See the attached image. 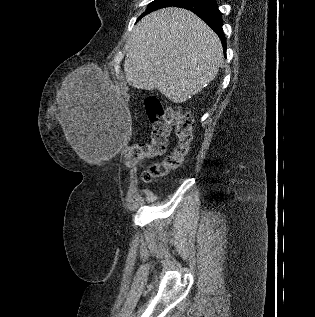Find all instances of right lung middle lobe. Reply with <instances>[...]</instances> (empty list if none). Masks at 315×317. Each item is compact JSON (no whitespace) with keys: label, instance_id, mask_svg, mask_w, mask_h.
Here are the masks:
<instances>
[{"label":"right lung middle lobe","instance_id":"1","mask_svg":"<svg viewBox=\"0 0 315 317\" xmlns=\"http://www.w3.org/2000/svg\"><path fill=\"white\" fill-rule=\"evenodd\" d=\"M178 1H180V0H155L148 5L147 10L145 11V13L142 16H144L145 14L150 13L152 11H155V10H158L161 8H165V7H169V6L177 3Z\"/></svg>","mask_w":315,"mask_h":317}]
</instances>
